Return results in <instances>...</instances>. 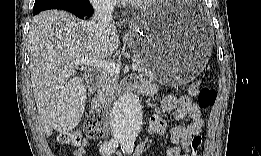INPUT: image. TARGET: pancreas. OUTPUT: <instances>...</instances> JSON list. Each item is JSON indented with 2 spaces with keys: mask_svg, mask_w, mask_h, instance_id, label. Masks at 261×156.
<instances>
[{
  "mask_svg": "<svg viewBox=\"0 0 261 156\" xmlns=\"http://www.w3.org/2000/svg\"><path fill=\"white\" fill-rule=\"evenodd\" d=\"M133 63L138 64V71L147 76H152L153 72L145 57L139 52H133ZM119 74L104 71L100 74L98 91L95 96V101L98 103H105L110 97L114 95L118 88Z\"/></svg>",
  "mask_w": 261,
  "mask_h": 156,
  "instance_id": "pancreas-1",
  "label": "pancreas"
}]
</instances>
